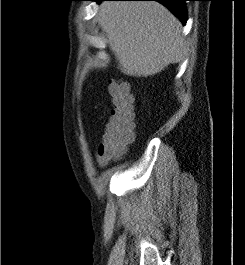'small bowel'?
<instances>
[{
  "instance_id": "small-bowel-1",
  "label": "small bowel",
  "mask_w": 245,
  "mask_h": 265,
  "mask_svg": "<svg viewBox=\"0 0 245 265\" xmlns=\"http://www.w3.org/2000/svg\"><path fill=\"white\" fill-rule=\"evenodd\" d=\"M98 160H99L100 163H104V161H102V160H100V159H98Z\"/></svg>"
}]
</instances>
